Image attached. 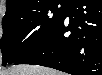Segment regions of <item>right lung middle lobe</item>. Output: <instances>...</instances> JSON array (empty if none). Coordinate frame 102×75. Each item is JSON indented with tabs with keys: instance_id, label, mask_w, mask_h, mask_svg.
<instances>
[{
	"instance_id": "dd1d6c3e",
	"label": "right lung middle lobe",
	"mask_w": 102,
	"mask_h": 75,
	"mask_svg": "<svg viewBox=\"0 0 102 75\" xmlns=\"http://www.w3.org/2000/svg\"><path fill=\"white\" fill-rule=\"evenodd\" d=\"M69 2L57 0L5 14L0 43L2 65L15 63L32 52L64 19Z\"/></svg>"
}]
</instances>
